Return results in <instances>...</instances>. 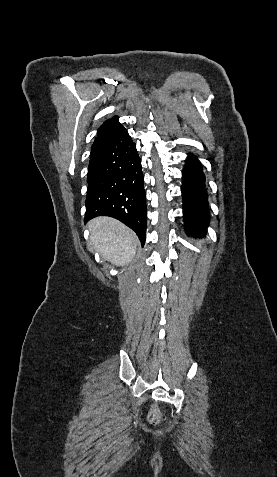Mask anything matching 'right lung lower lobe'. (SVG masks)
<instances>
[{"instance_id":"1","label":"right lung lower lobe","mask_w":277,"mask_h":477,"mask_svg":"<svg viewBox=\"0 0 277 477\" xmlns=\"http://www.w3.org/2000/svg\"><path fill=\"white\" fill-rule=\"evenodd\" d=\"M140 162L125 128L91 149L84 220L116 218L135 231L144 246L147 210Z\"/></svg>"}]
</instances>
